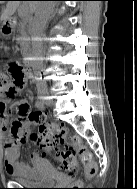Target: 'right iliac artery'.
Instances as JSON below:
<instances>
[{"instance_id":"82829eb1","label":"right iliac artery","mask_w":137,"mask_h":189,"mask_svg":"<svg viewBox=\"0 0 137 189\" xmlns=\"http://www.w3.org/2000/svg\"><path fill=\"white\" fill-rule=\"evenodd\" d=\"M40 99H41V98H40ZM36 106H37L38 109H41V110L44 109V103H43L41 100H38V101L36 102Z\"/></svg>"}]
</instances>
